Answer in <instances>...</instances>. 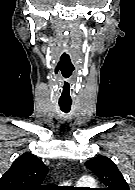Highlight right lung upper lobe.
I'll use <instances>...</instances> for the list:
<instances>
[{
  "label": "right lung upper lobe",
  "instance_id": "right-lung-upper-lobe-1",
  "mask_svg": "<svg viewBox=\"0 0 135 190\" xmlns=\"http://www.w3.org/2000/svg\"><path fill=\"white\" fill-rule=\"evenodd\" d=\"M48 167L30 153L18 157L0 178V190H46L42 185Z\"/></svg>",
  "mask_w": 135,
  "mask_h": 190
}]
</instances>
